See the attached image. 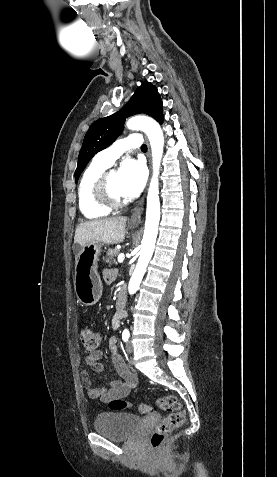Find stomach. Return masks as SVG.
<instances>
[{"mask_svg": "<svg viewBox=\"0 0 277 477\" xmlns=\"http://www.w3.org/2000/svg\"><path fill=\"white\" fill-rule=\"evenodd\" d=\"M101 244L90 242L81 247L75 262L74 290L78 301L85 306L96 304L102 295V283L97 273Z\"/></svg>", "mask_w": 277, "mask_h": 477, "instance_id": "obj_1", "label": "stomach"}]
</instances>
